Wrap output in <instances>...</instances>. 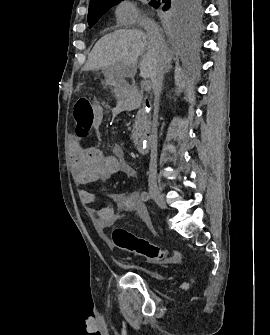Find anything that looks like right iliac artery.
I'll return each instance as SVG.
<instances>
[{
	"mask_svg": "<svg viewBox=\"0 0 270 335\" xmlns=\"http://www.w3.org/2000/svg\"><path fill=\"white\" fill-rule=\"evenodd\" d=\"M141 198H142L143 201L146 202L150 199V195H149L148 192L144 191V192L141 193Z\"/></svg>",
	"mask_w": 270,
	"mask_h": 335,
	"instance_id": "obj_1",
	"label": "right iliac artery"
}]
</instances>
